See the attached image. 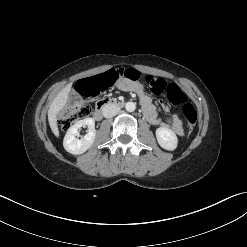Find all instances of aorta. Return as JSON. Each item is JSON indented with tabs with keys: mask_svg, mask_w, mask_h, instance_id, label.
<instances>
[{
	"mask_svg": "<svg viewBox=\"0 0 247 247\" xmlns=\"http://www.w3.org/2000/svg\"><path fill=\"white\" fill-rule=\"evenodd\" d=\"M125 109L128 112H133L136 109V104L134 102H127L126 105H125Z\"/></svg>",
	"mask_w": 247,
	"mask_h": 247,
	"instance_id": "1",
	"label": "aorta"
}]
</instances>
